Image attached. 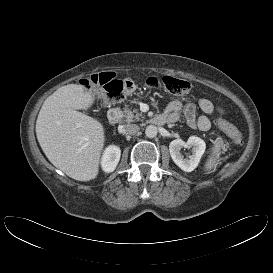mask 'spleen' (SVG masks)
<instances>
[{
    "mask_svg": "<svg viewBox=\"0 0 273 273\" xmlns=\"http://www.w3.org/2000/svg\"><path fill=\"white\" fill-rule=\"evenodd\" d=\"M221 148H223V140L219 137L214 141L212 152L205 162L204 171L206 173H209L213 168L217 166L221 154Z\"/></svg>",
    "mask_w": 273,
    "mask_h": 273,
    "instance_id": "spleen-1",
    "label": "spleen"
}]
</instances>
